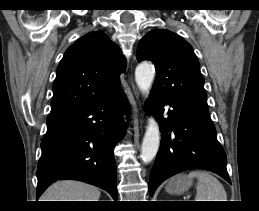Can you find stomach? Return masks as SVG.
Here are the masks:
<instances>
[{
	"label": "stomach",
	"mask_w": 259,
	"mask_h": 211,
	"mask_svg": "<svg viewBox=\"0 0 259 211\" xmlns=\"http://www.w3.org/2000/svg\"><path fill=\"white\" fill-rule=\"evenodd\" d=\"M191 184L190 178L185 175H178L168 182L166 190L172 194H182L190 188Z\"/></svg>",
	"instance_id": "1"
}]
</instances>
